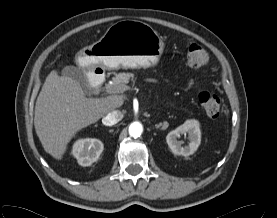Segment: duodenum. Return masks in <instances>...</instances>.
Here are the masks:
<instances>
[{"mask_svg":"<svg viewBox=\"0 0 277 218\" xmlns=\"http://www.w3.org/2000/svg\"><path fill=\"white\" fill-rule=\"evenodd\" d=\"M104 77L105 72L102 69L95 68L90 72L88 76V82L92 90L96 91L101 87Z\"/></svg>","mask_w":277,"mask_h":218,"instance_id":"obj_1","label":"duodenum"}]
</instances>
